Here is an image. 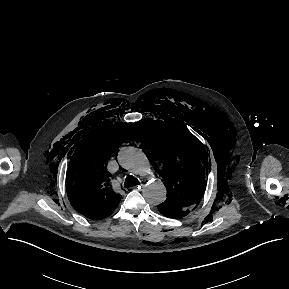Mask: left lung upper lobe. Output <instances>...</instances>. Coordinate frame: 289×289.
<instances>
[{
  "label": "left lung upper lobe",
  "mask_w": 289,
  "mask_h": 289,
  "mask_svg": "<svg viewBox=\"0 0 289 289\" xmlns=\"http://www.w3.org/2000/svg\"><path fill=\"white\" fill-rule=\"evenodd\" d=\"M147 158L163 177L167 199L158 206L189 214L200 202L208 175L201 142L181 123L145 119L137 123Z\"/></svg>",
  "instance_id": "left-lung-upper-lobe-1"
}]
</instances>
